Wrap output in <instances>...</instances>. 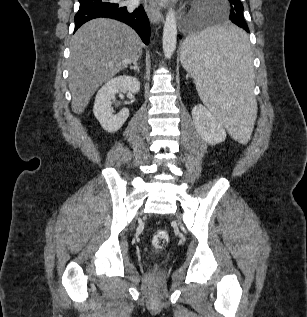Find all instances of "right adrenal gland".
<instances>
[{
	"label": "right adrenal gland",
	"instance_id": "2a0ac1e0",
	"mask_svg": "<svg viewBox=\"0 0 307 317\" xmlns=\"http://www.w3.org/2000/svg\"><path fill=\"white\" fill-rule=\"evenodd\" d=\"M137 61H138V59H136V60L133 62V65L130 66V69H131V70H136V71L139 73V72H140V69H139V67H138Z\"/></svg>",
	"mask_w": 307,
	"mask_h": 317
}]
</instances>
